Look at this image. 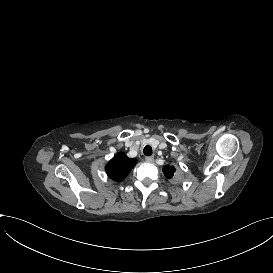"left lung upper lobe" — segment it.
Here are the masks:
<instances>
[{"mask_svg":"<svg viewBox=\"0 0 273 273\" xmlns=\"http://www.w3.org/2000/svg\"><path fill=\"white\" fill-rule=\"evenodd\" d=\"M175 168L169 165H166L163 168V173L167 178H172L174 176Z\"/></svg>","mask_w":273,"mask_h":273,"instance_id":"1","label":"left lung upper lobe"}]
</instances>
